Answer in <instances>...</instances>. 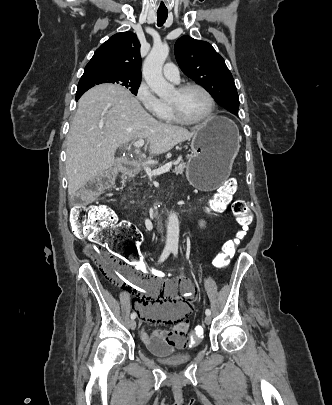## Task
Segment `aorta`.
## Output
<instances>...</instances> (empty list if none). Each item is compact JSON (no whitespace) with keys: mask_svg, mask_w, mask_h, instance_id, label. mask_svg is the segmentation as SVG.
I'll use <instances>...</instances> for the list:
<instances>
[{"mask_svg":"<svg viewBox=\"0 0 332 405\" xmlns=\"http://www.w3.org/2000/svg\"><path fill=\"white\" fill-rule=\"evenodd\" d=\"M168 54L169 47L167 44H154L143 64V77L151 90L160 98H165L173 88L162 74V67ZM178 241L179 220L176 213L173 212L169 216L166 243L177 247Z\"/></svg>","mask_w":332,"mask_h":405,"instance_id":"obj_1","label":"aorta"}]
</instances>
